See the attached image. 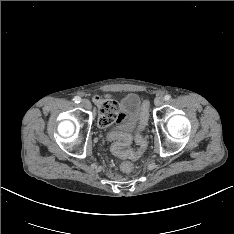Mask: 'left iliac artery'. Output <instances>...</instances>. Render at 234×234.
I'll return each instance as SVG.
<instances>
[{"label":"left iliac artery","mask_w":234,"mask_h":234,"mask_svg":"<svg viewBox=\"0 0 234 234\" xmlns=\"http://www.w3.org/2000/svg\"><path fill=\"white\" fill-rule=\"evenodd\" d=\"M164 99H165L166 101H168V100L171 99V96H170V95H165Z\"/></svg>","instance_id":"44dca946"}]
</instances>
